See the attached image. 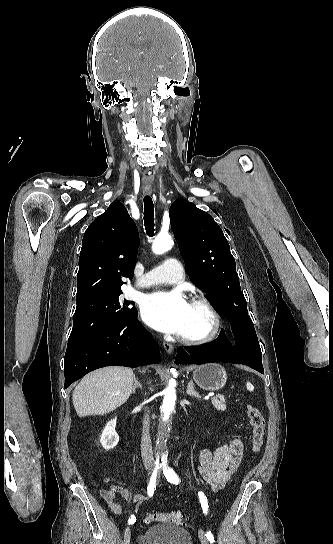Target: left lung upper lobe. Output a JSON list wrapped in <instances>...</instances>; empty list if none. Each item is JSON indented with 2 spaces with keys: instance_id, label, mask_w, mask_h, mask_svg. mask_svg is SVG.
Instances as JSON below:
<instances>
[{
  "instance_id": "1",
  "label": "left lung upper lobe",
  "mask_w": 333,
  "mask_h": 544,
  "mask_svg": "<svg viewBox=\"0 0 333 544\" xmlns=\"http://www.w3.org/2000/svg\"><path fill=\"white\" fill-rule=\"evenodd\" d=\"M169 215L192 282L214 301L232 326L249 319L235 260L222 229L208 213L183 198L171 205Z\"/></svg>"
}]
</instances>
